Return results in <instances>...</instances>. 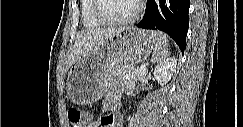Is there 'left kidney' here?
<instances>
[{
    "label": "left kidney",
    "mask_w": 243,
    "mask_h": 127,
    "mask_svg": "<svg viewBox=\"0 0 243 127\" xmlns=\"http://www.w3.org/2000/svg\"><path fill=\"white\" fill-rule=\"evenodd\" d=\"M177 59L175 57L168 58L161 62L154 70V77L160 85L166 84L175 71Z\"/></svg>",
    "instance_id": "5707ae66"
}]
</instances>
